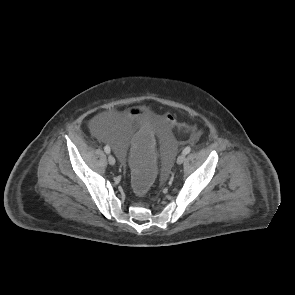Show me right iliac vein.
<instances>
[{"label":"right iliac vein","mask_w":295,"mask_h":295,"mask_svg":"<svg viewBox=\"0 0 295 295\" xmlns=\"http://www.w3.org/2000/svg\"><path fill=\"white\" fill-rule=\"evenodd\" d=\"M108 162L110 165H115V158L112 155L108 156Z\"/></svg>","instance_id":"63e3f726"}]
</instances>
